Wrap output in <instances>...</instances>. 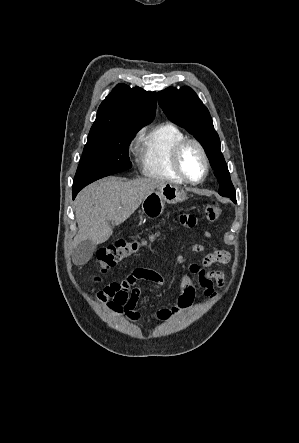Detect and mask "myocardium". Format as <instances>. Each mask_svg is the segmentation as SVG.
I'll return each instance as SVG.
<instances>
[{
  "label": "myocardium",
  "mask_w": 299,
  "mask_h": 443,
  "mask_svg": "<svg viewBox=\"0 0 299 443\" xmlns=\"http://www.w3.org/2000/svg\"><path fill=\"white\" fill-rule=\"evenodd\" d=\"M189 145H194L197 147V149L199 150V152L201 154L203 164H204L203 174L197 180H193L187 176L186 172L184 171V169L182 167V163H181L182 154H183L185 148ZM172 159H173V166H174L176 173L186 183L199 184V183L203 182L206 179V177L208 176L209 169H210L209 158H208V155L206 153L204 146L197 139L185 138L182 141H180L174 148Z\"/></svg>",
  "instance_id": "obj_1"
}]
</instances>
